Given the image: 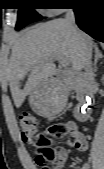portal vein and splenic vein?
Returning a JSON list of instances; mask_svg holds the SVG:
<instances>
[{
    "label": "portal vein and splenic vein",
    "instance_id": "1",
    "mask_svg": "<svg viewBox=\"0 0 104 169\" xmlns=\"http://www.w3.org/2000/svg\"><path fill=\"white\" fill-rule=\"evenodd\" d=\"M53 59L58 60L60 62V64L64 67L69 65V62L66 58H64L63 56H55L53 57Z\"/></svg>",
    "mask_w": 104,
    "mask_h": 169
}]
</instances>
